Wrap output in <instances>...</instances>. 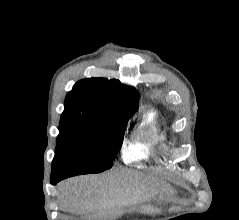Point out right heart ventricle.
<instances>
[{
  "label": "right heart ventricle",
  "instance_id": "1",
  "mask_svg": "<svg viewBox=\"0 0 239 220\" xmlns=\"http://www.w3.org/2000/svg\"><path fill=\"white\" fill-rule=\"evenodd\" d=\"M165 140L166 133L159 124L157 113L153 110H147L141 116L135 139L123 149V161L136 163L147 160L153 152L160 149Z\"/></svg>",
  "mask_w": 239,
  "mask_h": 220
}]
</instances>
